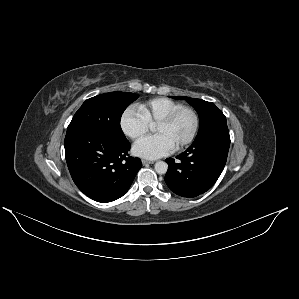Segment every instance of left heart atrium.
<instances>
[{
    "mask_svg": "<svg viewBox=\"0 0 299 299\" xmlns=\"http://www.w3.org/2000/svg\"><path fill=\"white\" fill-rule=\"evenodd\" d=\"M174 145L163 134H155L135 143L133 152L142 158L157 159L174 150Z\"/></svg>",
    "mask_w": 299,
    "mask_h": 299,
    "instance_id": "obj_1",
    "label": "left heart atrium"
}]
</instances>
